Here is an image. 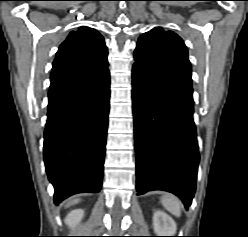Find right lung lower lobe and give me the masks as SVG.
I'll return each mask as SVG.
<instances>
[{
    "mask_svg": "<svg viewBox=\"0 0 248 237\" xmlns=\"http://www.w3.org/2000/svg\"><path fill=\"white\" fill-rule=\"evenodd\" d=\"M110 98L107 67L87 76L51 82L44 161L54 202L102 185Z\"/></svg>",
    "mask_w": 248,
    "mask_h": 237,
    "instance_id": "98d812e1",
    "label": "right lung lower lobe"
}]
</instances>
